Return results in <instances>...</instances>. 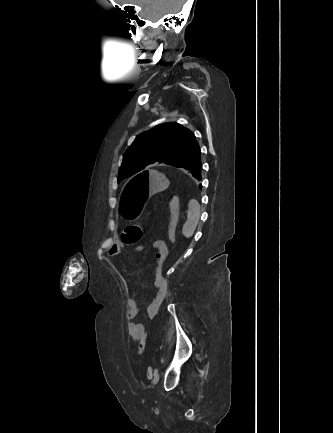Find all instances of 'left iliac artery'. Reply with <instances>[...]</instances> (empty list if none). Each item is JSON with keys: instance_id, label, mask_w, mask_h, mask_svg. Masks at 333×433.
<instances>
[{"instance_id": "left-iliac-artery-1", "label": "left iliac artery", "mask_w": 333, "mask_h": 433, "mask_svg": "<svg viewBox=\"0 0 333 433\" xmlns=\"http://www.w3.org/2000/svg\"><path fill=\"white\" fill-rule=\"evenodd\" d=\"M158 370L157 369H155V371H154V374L157 372ZM148 372H149V375L151 376V373H152V369L151 368H149L148 369Z\"/></svg>"}]
</instances>
